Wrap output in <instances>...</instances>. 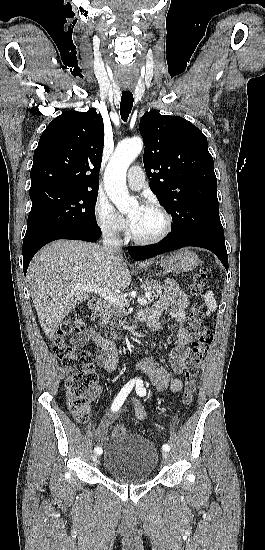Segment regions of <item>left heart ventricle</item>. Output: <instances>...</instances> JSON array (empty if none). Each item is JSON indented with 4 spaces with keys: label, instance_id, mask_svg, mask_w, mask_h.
<instances>
[{
    "label": "left heart ventricle",
    "instance_id": "b2bd125f",
    "mask_svg": "<svg viewBox=\"0 0 265 550\" xmlns=\"http://www.w3.org/2000/svg\"><path fill=\"white\" fill-rule=\"evenodd\" d=\"M133 233L141 238H150L159 234L164 228L163 216L147 207L134 206L128 213Z\"/></svg>",
    "mask_w": 265,
    "mask_h": 550
}]
</instances>
